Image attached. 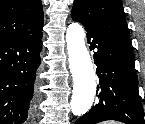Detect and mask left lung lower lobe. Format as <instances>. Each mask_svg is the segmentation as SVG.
Masks as SVG:
<instances>
[{"label":"left lung lower lobe","instance_id":"obj_1","mask_svg":"<svg viewBox=\"0 0 145 124\" xmlns=\"http://www.w3.org/2000/svg\"><path fill=\"white\" fill-rule=\"evenodd\" d=\"M72 19L87 31L89 48L95 50L94 63L100 80L95 105L75 124H96L105 120L145 124L131 49L96 30L78 15L72 13Z\"/></svg>","mask_w":145,"mask_h":124}]
</instances>
